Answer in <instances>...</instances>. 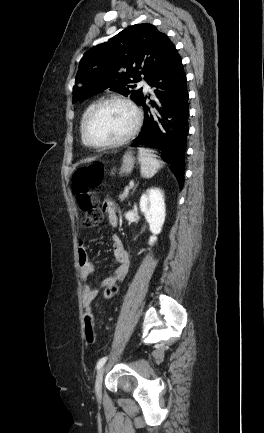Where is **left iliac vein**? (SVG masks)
I'll list each match as a JSON object with an SVG mask.
<instances>
[{
  "instance_id": "left-iliac-vein-1",
  "label": "left iliac vein",
  "mask_w": 264,
  "mask_h": 433,
  "mask_svg": "<svg viewBox=\"0 0 264 433\" xmlns=\"http://www.w3.org/2000/svg\"><path fill=\"white\" fill-rule=\"evenodd\" d=\"M104 371H105V367H102L95 380V393L98 398L101 397V393H102V381H103Z\"/></svg>"
}]
</instances>
